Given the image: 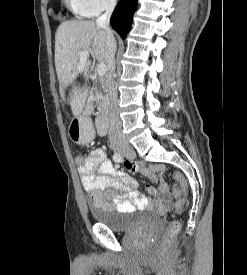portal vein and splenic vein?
Here are the masks:
<instances>
[{
    "mask_svg": "<svg viewBox=\"0 0 247 275\" xmlns=\"http://www.w3.org/2000/svg\"><path fill=\"white\" fill-rule=\"evenodd\" d=\"M90 56V53H89V51H82L81 53H80V60H81V65L78 67V70L79 71H83V69H84V63L86 62V60H87V58ZM106 65L105 64H99L98 66H97V74L99 75V76H103V75H105V73H106Z\"/></svg>",
    "mask_w": 247,
    "mask_h": 275,
    "instance_id": "portal-vein-and-splenic-vein-1",
    "label": "portal vein and splenic vein"
}]
</instances>
